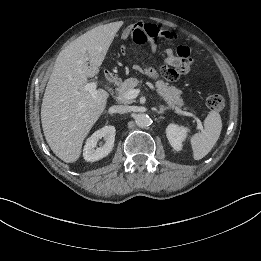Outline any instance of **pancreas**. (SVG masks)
<instances>
[{
  "label": "pancreas",
  "instance_id": "obj_1",
  "mask_svg": "<svg viewBox=\"0 0 261 261\" xmlns=\"http://www.w3.org/2000/svg\"><path fill=\"white\" fill-rule=\"evenodd\" d=\"M139 81L136 78H128L122 82L118 88L119 101L124 104H130L133 102L131 99H125L123 94L128 92L130 89H134L138 85ZM156 89L159 96H161L170 107L179 108L184 105L181 98L182 91L177 89L175 86H169L168 83L158 80L156 81Z\"/></svg>",
  "mask_w": 261,
  "mask_h": 261
}]
</instances>
